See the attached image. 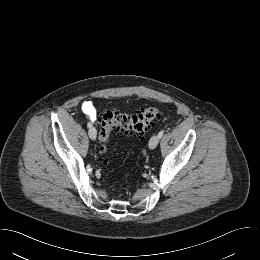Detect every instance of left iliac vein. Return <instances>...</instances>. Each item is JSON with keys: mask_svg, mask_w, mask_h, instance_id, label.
<instances>
[{"mask_svg": "<svg viewBox=\"0 0 260 260\" xmlns=\"http://www.w3.org/2000/svg\"><path fill=\"white\" fill-rule=\"evenodd\" d=\"M158 143H159V137H158V135H153L151 138H150V140H149V148L150 149H154V148H156V146L158 145Z\"/></svg>", "mask_w": 260, "mask_h": 260, "instance_id": "obj_1", "label": "left iliac vein"}]
</instances>
